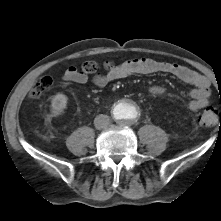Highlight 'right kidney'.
<instances>
[{
	"instance_id": "obj_1",
	"label": "right kidney",
	"mask_w": 221,
	"mask_h": 221,
	"mask_svg": "<svg viewBox=\"0 0 221 221\" xmlns=\"http://www.w3.org/2000/svg\"><path fill=\"white\" fill-rule=\"evenodd\" d=\"M68 97L64 94H57L51 101V113L54 116L61 115L67 107Z\"/></svg>"
}]
</instances>
